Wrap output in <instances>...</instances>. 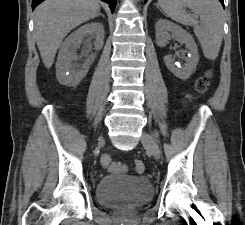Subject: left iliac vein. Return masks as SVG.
I'll use <instances>...</instances> for the list:
<instances>
[{
	"mask_svg": "<svg viewBox=\"0 0 245 225\" xmlns=\"http://www.w3.org/2000/svg\"><path fill=\"white\" fill-rule=\"evenodd\" d=\"M141 142L156 159L160 158L161 153L159 146L152 135L144 132L141 138Z\"/></svg>",
	"mask_w": 245,
	"mask_h": 225,
	"instance_id": "1",
	"label": "left iliac vein"
}]
</instances>
